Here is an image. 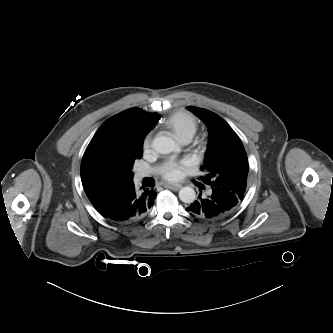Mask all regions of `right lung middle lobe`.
<instances>
[{"instance_id": "obj_1", "label": "right lung middle lobe", "mask_w": 333, "mask_h": 333, "mask_svg": "<svg viewBox=\"0 0 333 333\" xmlns=\"http://www.w3.org/2000/svg\"><path fill=\"white\" fill-rule=\"evenodd\" d=\"M142 145V138L125 132L101 136L93 145L89 144L81 162L83 187L132 181L133 164L142 157Z\"/></svg>"}]
</instances>
